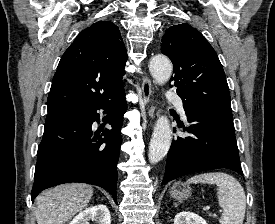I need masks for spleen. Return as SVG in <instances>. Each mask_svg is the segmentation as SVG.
<instances>
[{
	"instance_id": "spleen-1",
	"label": "spleen",
	"mask_w": 275,
	"mask_h": 224,
	"mask_svg": "<svg viewBox=\"0 0 275 224\" xmlns=\"http://www.w3.org/2000/svg\"><path fill=\"white\" fill-rule=\"evenodd\" d=\"M187 183L216 184L218 202L223 209L220 223L243 224L246 196L243 187L234 177L222 172H209L195 175Z\"/></svg>"
}]
</instances>
